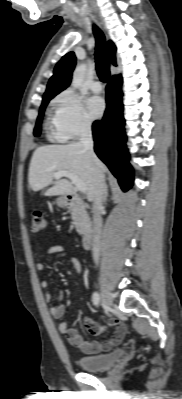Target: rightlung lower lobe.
I'll return each instance as SVG.
<instances>
[{"mask_svg": "<svg viewBox=\"0 0 182 399\" xmlns=\"http://www.w3.org/2000/svg\"><path fill=\"white\" fill-rule=\"evenodd\" d=\"M121 85L120 75L109 79L104 117L93 123L92 130L96 154L118 179L121 189L127 191L133 184V171L128 162L129 153L125 145Z\"/></svg>", "mask_w": 182, "mask_h": 399, "instance_id": "98d812e1", "label": "right lung lower lobe"}]
</instances>
